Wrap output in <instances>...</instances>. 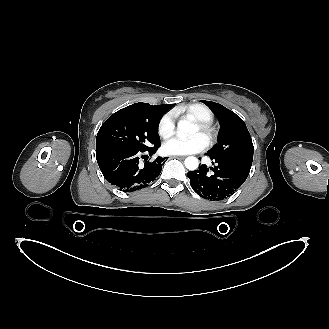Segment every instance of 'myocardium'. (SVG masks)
<instances>
[{"label": "myocardium", "instance_id": "f54148a6", "mask_svg": "<svg viewBox=\"0 0 329 329\" xmlns=\"http://www.w3.org/2000/svg\"><path fill=\"white\" fill-rule=\"evenodd\" d=\"M196 126L207 140V144L211 145L215 142L218 132L212 122L196 121Z\"/></svg>", "mask_w": 329, "mask_h": 329}]
</instances>
